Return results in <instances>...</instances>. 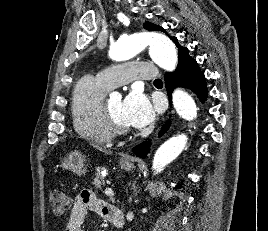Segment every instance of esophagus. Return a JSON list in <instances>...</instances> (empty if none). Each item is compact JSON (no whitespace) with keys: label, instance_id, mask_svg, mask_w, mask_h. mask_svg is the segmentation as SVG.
Here are the masks:
<instances>
[{"label":"esophagus","instance_id":"1","mask_svg":"<svg viewBox=\"0 0 268 231\" xmlns=\"http://www.w3.org/2000/svg\"><path fill=\"white\" fill-rule=\"evenodd\" d=\"M124 159H125V160H130V157L125 156Z\"/></svg>","mask_w":268,"mask_h":231}]
</instances>
